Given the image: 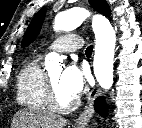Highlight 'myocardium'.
Segmentation results:
<instances>
[{"mask_svg": "<svg viewBox=\"0 0 142 128\" xmlns=\"http://www.w3.org/2000/svg\"><path fill=\"white\" fill-rule=\"evenodd\" d=\"M47 98L50 108L61 113L71 111L78 103L77 98L73 97L67 104H61L49 75H47Z\"/></svg>", "mask_w": 142, "mask_h": 128, "instance_id": "1", "label": "myocardium"}]
</instances>
